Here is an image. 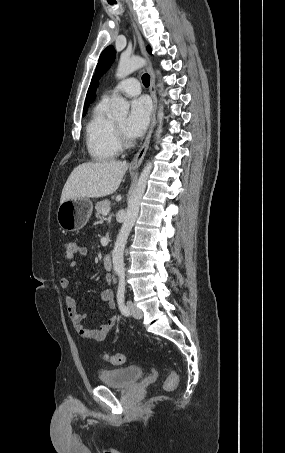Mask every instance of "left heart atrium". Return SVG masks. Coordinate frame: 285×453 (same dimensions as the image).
Returning <instances> with one entry per match:
<instances>
[{"instance_id": "left-heart-atrium-1", "label": "left heart atrium", "mask_w": 285, "mask_h": 453, "mask_svg": "<svg viewBox=\"0 0 285 453\" xmlns=\"http://www.w3.org/2000/svg\"><path fill=\"white\" fill-rule=\"evenodd\" d=\"M150 112V103L146 98H137L131 102L125 127V131L130 137L136 138L145 132L149 124Z\"/></svg>"}]
</instances>
